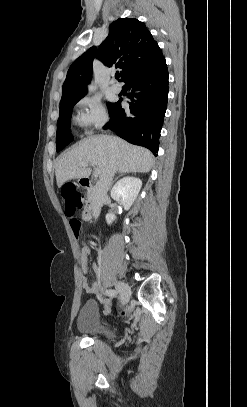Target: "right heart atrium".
<instances>
[{
	"mask_svg": "<svg viewBox=\"0 0 247 407\" xmlns=\"http://www.w3.org/2000/svg\"><path fill=\"white\" fill-rule=\"evenodd\" d=\"M75 120L84 132L90 133L108 121V114L99 98L84 96L76 104Z\"/></svg>",
	"mask_w": 247,
	"mask_h": 407,
	"instance_id": "right-heart-atrium-1",
	"label": "right heart atrium"
}]
</instances>
